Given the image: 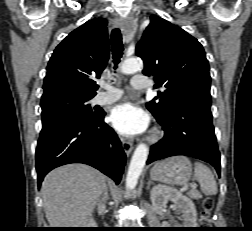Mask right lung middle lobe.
Returning <instances> with one entry per match:
<instances>
[{
  "label": "right lung middle lobe",
  "mask_w": 252,
  "mask_h": 231,
  "mask_svg": "<svg viewBox=\"0 0 252 231\" xmlns=\"http://www.w3.org/2000/svg\"><path fill=\"white\" fill-rule=\"evenodd\" d=\"M93 96L62 94L41 100L42 124L66 116L89 117L95 112L88 103Z\"/></svg>",
  "instance_id": "dd1d6c3e"
}]
</instances>
